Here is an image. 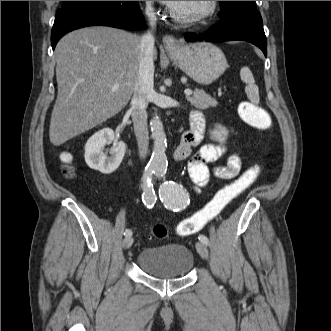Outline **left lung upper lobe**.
<instances>
[{
  "label": "left lung upper lobe",
  "instance_id": "obj_1",
  "mask_svg": "<svg viewBox=\"0 0 331 331\" xmlns=\"http://www.w3.org/2000/svg\"><path fill=\"white\" fill-rule=\"evenodd\" d=\"M221 5L220 18L234 14L250 13L257 11L254 1H219Z\"/></svg>",
  "mask_w": 331,
  "mask_h": 331
}]
</instances>
